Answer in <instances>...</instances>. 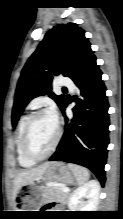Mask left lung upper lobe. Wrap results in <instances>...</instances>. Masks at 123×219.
Instances as JSON below:
<instances>
[{"mask_svg":"<svg viewBox=\"0 0 123 219\" xmlns=\"http://www.w3.org/2000/svg\"><path fill=\"white\" fill-rule=\"evenodd\" d=\"M92 57L90 43L77 24H59L47 32L21 72L12 110L13 126L29 101L37 96L48 94L62 109L66 97L51 92L53 77L62 74L73 79Z\"/></svg>","mask_w":123,"mask_h":219,"instance_id":"obj_1","label":"left lung upper lobe"}]
</instances>
